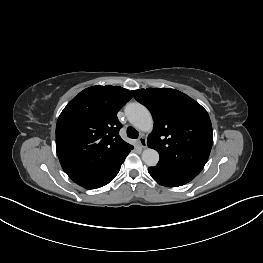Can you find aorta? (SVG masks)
Returning a JSON list of instances; mask_svg holds the SVG:
<instances>
[{
    "mask_svg": "<svg viewBox=\"0 0 263 263\" xmlns=\"http://www.w3.org/2000/svg\"><path fill=\"white\" fill-rule=\"evenodd\" d=\"M129 122L137 129L148 132L153 128V118L149 110L140 103H131L125 108ZM142 160L147 166H156L159 154L152 148H147L142 153Z\"/></svg>",
    "mask_w": 263,
    "mask_h": 263,
    "instance_id": "obj_1",
    "label": "aorta"
}]
</instances>
